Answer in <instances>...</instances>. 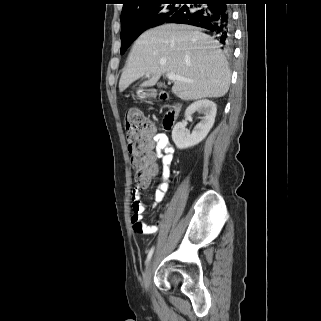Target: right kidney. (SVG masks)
<instances>
[{
    "label": "right kidney",
    "mask_w": 321,
    "mask_h": 321,
    "mask_svg": "<svg viewBox=\"0 0 321 321\" xmlns=\"http://www.w3.org/2000/svg\"><path fill=\"white\" fill-rule=\"evenodd\" d=\"M195 112L204 116L191 134L186 129L187 122H178L173 128L172 140L179 149H186L199 144L213 127L217 112L216 104L213 101L202 99L192 103L186 109L185 116L190 117Z\"/></svg>",
    "instance_id": "1"
}]
</instances>
